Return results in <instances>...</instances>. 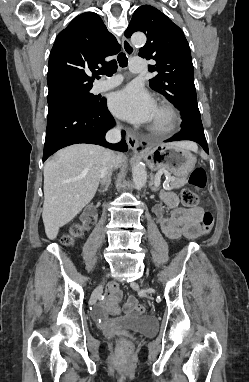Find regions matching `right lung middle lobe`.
<instances>
[{
	"label": "right lung middle lobe",
	"mask_w": 249,
	"mask_h": 382,
	"mask_svg": "<svg viewBox=\"0 0 249 382\" xmlns=\"http://www.w3.org/2000/svg\"><path fill=\"white\" fill-rule=\"evenodd\" d=\"M98 105V98L90 93V89L69 95L48 103L47 121L75 111H92Z\"/></svg>",
	"instance_id": "obj_1"
}]
</instances>
